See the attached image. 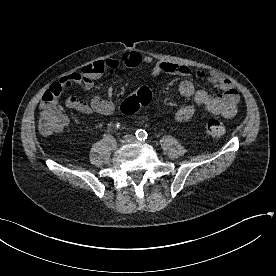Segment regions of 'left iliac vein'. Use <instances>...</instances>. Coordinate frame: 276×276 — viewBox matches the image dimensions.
I'll return each mask as SVG.
<instances>
[{"mask_svg":"<svg viewBox=\"0 0 276 276\" xmlns=\"http://www.w3.org/2000/svg\"><path fill=\"white\" fill-rule=\"evenodd\" d=\"M124 142H126V143H138L139 140L133 135H126L124 137Z\"/></svg>","mask_w":276,"mask_h":276,"instance_id":"4c4485c4","label":"left iliac vein"}]
</instances>
